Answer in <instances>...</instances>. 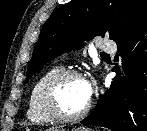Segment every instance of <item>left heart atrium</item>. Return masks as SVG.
<instances>
[{"label":"left heart atrium","mask_w":147,"mask_h":131,"mask_svg":"<svg viewBox=\"0 0 147 131\" xmlns=\"http://www.w3.org/2000/svg\"><path fill=\"white\" fill-rule=\"evenodd\" d=\"M83 87H84L85 96L89 101L93 94L94 82L92 80L85 79L83 80Z\"/></svg>","instance_id":"obj_1"}]
</instances>
